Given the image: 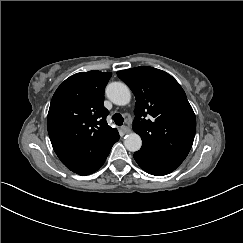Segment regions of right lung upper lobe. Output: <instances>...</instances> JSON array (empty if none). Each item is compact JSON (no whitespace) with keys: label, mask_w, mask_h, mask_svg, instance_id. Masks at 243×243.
Instances as JSON below:
<instances>
[{"label":"right lung upper lobe","mask_w":243,"mask_h":243,"mask_svg":"<svg viewBox=\"0 0 243 243\" xmlns=\"http://www.w3.org/2000/svg\"><path fill=\"white\" fill-rule=\"evenodd\" d=\"M111 73L89 71L66 79L51 100L47 128L61 162L75 173L92 168L120 138L107 125L104 89Z\"/></svg>","instance_id":"cb5924a9"}]
</instances>
